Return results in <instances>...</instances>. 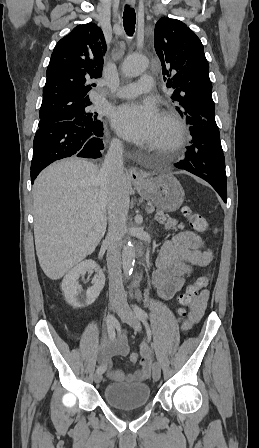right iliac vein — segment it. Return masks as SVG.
Instances as JSON below:
<instances>
[{
  "label": "right iliac vein",
  "mask_w": 259,
  "mask_h": 448,
  "mask_svg": "<svg viewBox=\"0 0 259 448\" xmlns=\"http://www.w3.org/2000/svg\"><path fill=\"white\" fill-rule=\"evenodd\" d=\"M120 306V302L116 299L110 300V308L113 312H117L118 308ZM102 380V373L96 372L94 375V381L96 383L101 382Z\"/></svg>",
  "instance_id": "obj_1"
}]
</instances>
